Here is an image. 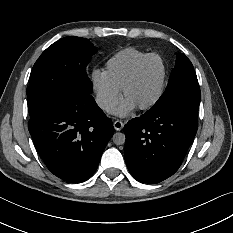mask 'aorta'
<instances>
[{"mask_svg": "<svg viewBox=\"0 0 233 233\" xmlns=\"http://www.w3.org/2000/svg\"><path fill=\"white\" fill-rule=\"evenodd\" d=\"M113 142L116 145H123L125 143V134L123 133H115L112 137Z\"/></svg>", "mask_w": 233, "mask_h": 233, "instance_id": "1", "label": "aorta"}]
</instances>
